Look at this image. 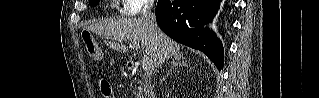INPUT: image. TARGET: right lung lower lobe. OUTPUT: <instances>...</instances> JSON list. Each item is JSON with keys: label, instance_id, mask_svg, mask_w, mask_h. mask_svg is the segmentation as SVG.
I'll return each instance as SVG.
<instances>
[{"label": "right lung lower lobe", "instance_id": "98d812e1", "mask_svg": "<svg viewBox=\"0 0 319 98\" xmlns=\"http://www.w3.org/2000/svg\"><path fill=\"white\" fill-rule=\"evenodd\" d=\"M220 0H159L156 20L161 30L175 41L205 53L223 69V46L203 25L217 13Z\"/></svg>", "mask_w": 319, "mask_h": 98}]
</instances>
